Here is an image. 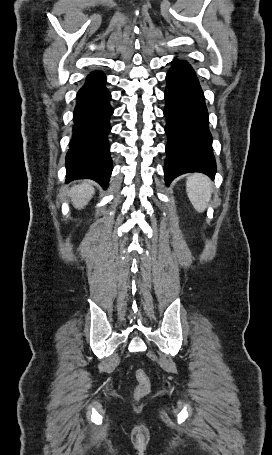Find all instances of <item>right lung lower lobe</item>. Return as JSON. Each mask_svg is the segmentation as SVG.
I'll use <instances>...</instances> for the list:
<instances>
[{
    "label": "right lung lower lobe",
    "mask_w": 272,
    "mask_h": 455,
    "mask_svg": "<svg viewBox=\"0 0 272 455\" xmlns=\"http://www.w3.org/2000/svg\"><path fill=\"white\" fill-rule=\"evenodd\" d=\"M105 81L102 72L90 74L78 91L73 138L66 155V182L89 178L107 187L112 171L107 135L113 109Z\"/></svg>",
    "instance_id": "right-lung-lower-lobe-1"
}]
</instances>
